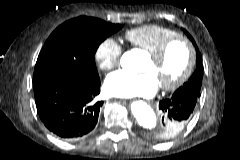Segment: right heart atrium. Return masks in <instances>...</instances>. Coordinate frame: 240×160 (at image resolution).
Wrapping results in <instances>:
<instances>
[{
	"label": "right heart atrium",
	"instance_id": "right-heart-atrium-1",
	"mask_svg": "<svg viewBox=\"0 0 240 160\" xmlns=\"http://www.w3.org/2000/svg\"><path fill=\"white\" fill-rule=\"evenodd\" d=\"M123 49L113 38L104 39L95 50V60L100 70L108 72L120 64Z\"/></svg>",
	"mask_w": 240,
	"mask_h": 160
}]
</instances>
